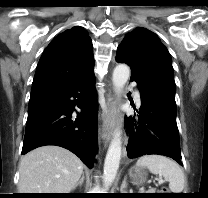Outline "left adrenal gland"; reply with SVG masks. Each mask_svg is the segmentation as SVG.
Segmentation results:
<instances>
[{
  "label": "left adrenal gland",
  "instance_id": "1",
  "mask_svg": "<svg viewBox=\"0 0 208 198\" xmlns=\"http://www.w3.org/2000/svg\"><path fill=\"white\" fill-rule=\"evenodd\" d=\"M121 193H127V176L124 177L121 187H120Z\"/></svg>",
  "mask_w": 208,
  "mask_h": 198
}]
</instances>
